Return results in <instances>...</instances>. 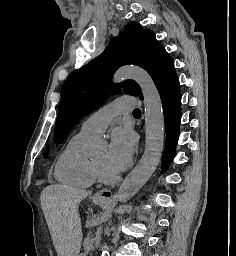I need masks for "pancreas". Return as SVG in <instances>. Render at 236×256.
Masks as SVG:
<instances>
[{"label": "pancreas", "instance_id": "obj_1", "mask_svg": "<svg viewBox=\"0 0 236 256\" xmlns=\"http://www.w3.org/2000/svg\"><path fill=\"white\" fill-rule=\"evenodd\" d=\"M89 224H94V219H89ZM93 242L91 238H84L83 239V249L84 250H92L93 249Z\"/></svg>", "mask_w": 236, "mask_h": 256}]
</instances>
